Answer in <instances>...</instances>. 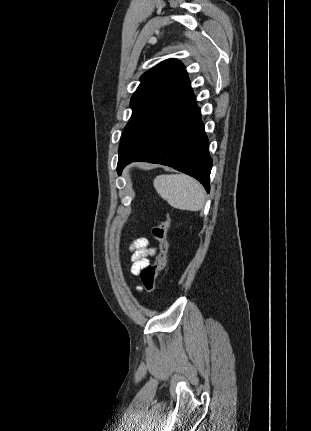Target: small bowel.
Listing matches in <instances>:
<instances>
[{
  "label": "small bowel",
  "instance_id": "1",
  "mask_svg": "<svg viewBox=\"0 0 311 431\" xmlns=\"http://www.w3.org/2000/svg\"><path fill=\"white\" fill-rule=\"evenodd\" d=\"M132 251L131 261V272L138 275L144 267L149 265V256L155 254V248H150L148 240L146 238H139L130 246ZM140 290L141 287H138Z\"/></svg>",
  "mask_w": 311,
  "mask_h": 431
}]
</instances>
